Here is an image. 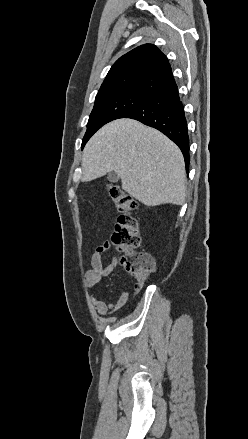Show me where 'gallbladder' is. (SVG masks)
Segmentation results:
<instances>
[{
    "mask_svg": "<svg viewBox=\"0 0 248 439\" xmlns=\"http://www.w3.org/2000/svg\"><path fill=\"white\" fill-rule=\"evenodd\" d=\"M119 178H120L119 175L114 171L108 173V176H107V179L112 183L118 182Z\"/></svg>",
    "mask_w": 248,
    "mask_h": 439,
    "instance_id": "gallbladder-1",
    "label": "gallbladder"
}]
</instances>
